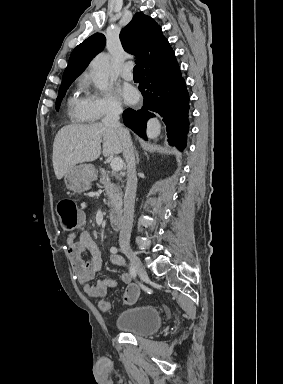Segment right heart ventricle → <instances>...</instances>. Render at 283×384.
Instances as JSON below:
<instances>
[{
  "label": "right heart ventricle",
  "mask_w": 283,
  "mask_h": 384,
  "mask_svg": "<svg viewBox=\"0 0 283 384\" xmlns=\"http://www.w3.org/2000/svg\"><path fill=\"white\" fill-rule=\"evenodd\" d=\"M82 85H77L67 98L66 107L69 118L75 123H89L86 95H81Z\"/></svg>",
  "instance_id": "right-heart-ventricle-1"
}]
</instances>
